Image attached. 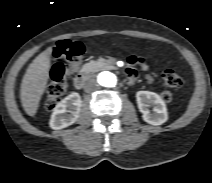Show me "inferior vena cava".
Segmentation results:
<instances>
[{"label": "inferior vena cava", "instance_id": "inferior-vena-cava-1", "mask_svg": "<svg viewBox=\"0 0 212 183\" xmlns=\"http://www.w3.org/2000/svg\"><path fill=\"white\" fill-rule=\"evenodd\" d=\"M98 88V84L95 79H89L85 84V91L92 92Z\"/></svg>", "mask_w": 212, "mask_h": 183}]
</instances>
